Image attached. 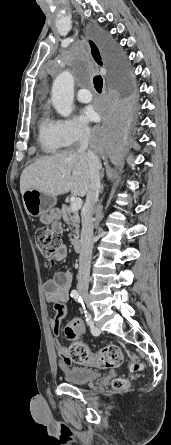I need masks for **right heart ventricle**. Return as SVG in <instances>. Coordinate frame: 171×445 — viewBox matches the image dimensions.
<instances>
[{
  "label": "right heart ventricle",
  "instance_id": "1",
  "mask_svg": "<svg viewBox=\"0 0 171 445\" xmlns=\"http://www.w3.org/2000/svg\"><path fill=\"white\" fill-rule=\"evenodd\" d=\"M38 141L42 150L47 153H56L67 146L60 137L56 122L47 116H43L40 120Z\"/></svg>",
  "mask_w": 171,
  "mask_h": 445
}]
</instances>
